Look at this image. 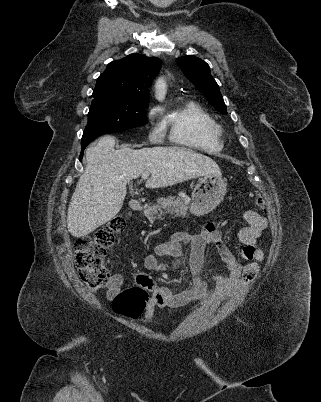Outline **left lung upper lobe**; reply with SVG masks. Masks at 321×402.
<instances>
[{
	"label": "left lung upper lobe",
	"mask_w": 321,
	"mask_h": 402,
	"mask_svg": "<svg viewBox=\"0 0 321 402\" xmlns=\"http://www.w3.org/2000/svg\"><path fill=\"white\" fill-rule=\"evenodd\" d=\"M177 63L184 75L204 95V97L222 114H226V106L218 84L210 73L209 65L193 55L177 58Z\"/></svg>",
	"instance_id": "obj_1"
}]
</instances>
